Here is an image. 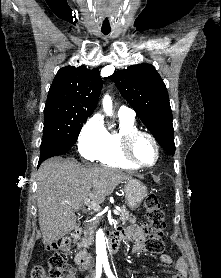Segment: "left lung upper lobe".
<instances>
[{"mask_svg": "<svg viewBox=\"0 0 221 278\" xmlns=\"http://www.w3.org/2000/svg\"><path fill=\"white\" fill-rule=\"evenodd\" d=\"M121 95L136 111L161 147L175 153L172 112L163 80L151 64L131 65L114 72Z\"/></svg>", "mask_w": 221, "mask_h": 278, "instance_id": "5c2ea615", "label": "left lung upper lobe"}]
</instances>
